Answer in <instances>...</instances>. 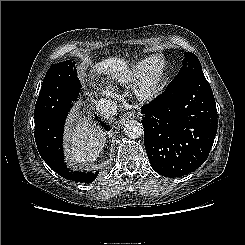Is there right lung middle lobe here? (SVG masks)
I'll use <instances>...</instances> for the list:
<instances>
[{
    "instance_id": "dd1d6c3e",
    "label": "right lung middle lobe",
    "mask_w": 245,
    "mask_h": 245,
    "mask_svg": "<svg viewBox=\"0 0 245 245\" xmlns=\"http://www.w3.org/2000/svg\"><path fill=\"white\" fill-rule=\"evenodd\" d=\"M80 88L75 61L67 60L51 65L36 102L35 118L49 120L66 116L72 102L79 97Z\"/></svg>"
}]
</instances>
